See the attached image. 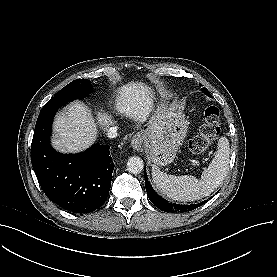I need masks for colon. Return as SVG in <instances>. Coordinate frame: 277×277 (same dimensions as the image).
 <instances>
[{"mask_svg": "<svg viewBox=\"0 0 277 277\" xmlns=\"http://www.w3.org/2000/svg\"><path fill=\"white\" fill-rule=\"evenodd\" d=\"M220 125L219 108L215 105L207 107L198 134L194 136L189 143L192 153L196 155L205 153L212 141H214L220 133Z\"/></svg>", "mask_w": 277, "mask_h": 277, "instance_id": "obj_1", "label": "colon"}]
</instances>
